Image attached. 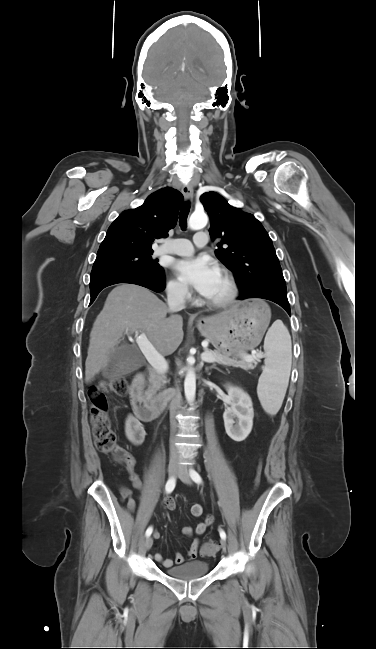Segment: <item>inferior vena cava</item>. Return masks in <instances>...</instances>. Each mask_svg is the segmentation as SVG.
Masks as SVG:
<instances>
[{"label":"inferior vena cava","mask_w":376,"mask_h":649,"mask_svg":"<svg viewBox=\"0 0 376 649\" xmlns=\"http://www.w3.org/2000/svg\"><path fill=\"white\" fill-rule=\"evenodd\" d=\"M186 285L180 284L177 286L170 287L167 291V304L169 306V309L171 311H180L185 308V294H186ZM172 397V409H176L177 407L180 406L181 403V396L178 392H174L171 394ZM172 429L175 428V423L172 420ZM170 453L171 455H176L178 454V449L176 448L174 444V440L172 438L170 442Z\"/></svg>","instance_id":"602c4592"}]
</instances>
